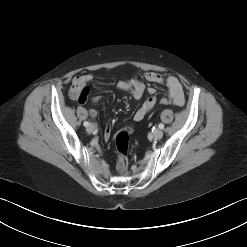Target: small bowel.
Wrapping results in <instances>:
<instances>
[{"instance_id":"obj_1","label":"small bowel","mask_w":247,"mask_h":247,"mask_svg":"<svg viewBox=\"0 0 247 247\" xmlns=\"http://www.w3.org/2000/svg\"><path fill=\"white\" fill-rule=\"evenodd\" d=\"M144 78L146 81L150 83H165L168 91L169 97L172 104L176 106H182L185 102L183 87L179 79L175 76H168L166 79L156 73V72H146L144 74ZM93 80V76L91 74L79 75L73 78L72 87H71V96L72 98L78 100V102L83 103L85 100L79 99V94L82 90L87 89L88 84ZM117 87L121 90L129 92L135 99H140L144 95L145 92L150 94L148 97L136 110L134 114L135 121L143 120L147 114L152 110V108L156 104V98L153 96L156 92L153 87H146L144 82L137 78H130L127 80H120L117 83ZM99 97L96 96L93 98V101H98ZM91 117H96L97 110L92 108L89 111ZM111 136V128L107 126L104 131V139L108 140Z\"/></svg>"}]
</instances>
